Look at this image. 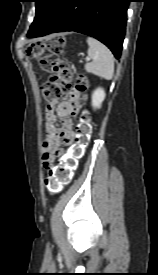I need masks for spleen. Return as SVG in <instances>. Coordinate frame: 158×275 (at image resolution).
<instances>
[{
  "instance_id": "obj_1",
  "label": "spleen",
  "mask_w": 158,
  "mask_h": 275,
  "mask_svg": "<svg viewBox=\"0 0 158 275\" xmlns=\"http://www.w3.org/2000/svg\"><path fill=\"white\" fill-rule=\"evenodd\" d=\"M88 56L92 62L85 65L87 72L110 80L114 74V57L111 51L100 41L88 37Z\"/></svg>"
}]
</instances>
